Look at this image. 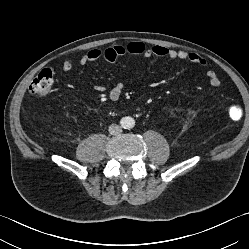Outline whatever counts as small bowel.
I'll list each match as a JSON object with an SVG mask.
<instances>
[{
	"mask_svg": "<svg viewBox=\"0 0 249 249\" xmlns=\"http://www.w3.org/2000/svg\"><path fill=\"white\" fill-rule=\"evenodd\" d=\"M125 55L142 58H166L171 62L185 60L204 69L208 68L206 60L197 53L177 50L160 45H154L147 48L140 42L129 43L125 46H111L104 50L93 48L80 58L79 63L81 65H87L96 62L99 59H103L108 64H115L120 57ZM73 66L74 61L72 59H66L63 61L61 68L63 72H69L72 70ZM207 79L212 87H218L221 83L218 75L212 70L207 71ZM95 90L100 93H106L111 101H117L123 94L124 84L117 81L111 88H106L103 85H96Z\"/></svg>",
	"mask_w": 249,
	"mask_h": 249,
	"instance_id": "small-bowel-1",
	"label": "small bowel"
}]
</instances>
